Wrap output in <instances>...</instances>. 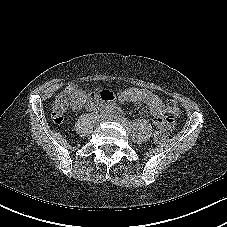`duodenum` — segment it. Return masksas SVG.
<instances>
[{"label":"duodenum","instance_id":"duodenum-1","mask_svg":"<svg viewBox=\"0 0 227 227\" xmlns=\"http://www.w3.org/2000/svg\"><path fill=\"white\" fill-rule=\"evenodd\" d=\"M117 101L116 94L111 90L104 91L101 95L92 97L89 105L93 110H102L111 108Z\"/></svg>","mask_w":227,"mask_h":227}]
</instances>
